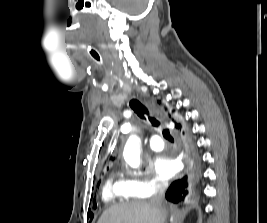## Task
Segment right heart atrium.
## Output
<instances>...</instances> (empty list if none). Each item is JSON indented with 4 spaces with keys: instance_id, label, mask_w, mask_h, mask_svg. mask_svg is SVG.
<instances>
[{
    "instance_id": "obj_1",
    "label": "right heart atrium",
    "mask_w": 267,
    "mask_h": 223,
    "mask_svg": "<svg viewBox=\"0 0 267 223\" xmlns=\"http://www.w3.org/2000/svg\"><path fill=\"white\" fill-rule=\"evenodd\" d=\"M126 184L131 195L142 198L152 197L164 188L160 179L147 177L140 172L132 173L126 179Z\"/></svg>"
}]
</instances>
